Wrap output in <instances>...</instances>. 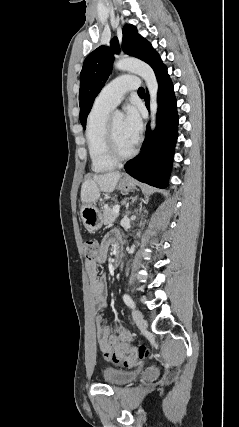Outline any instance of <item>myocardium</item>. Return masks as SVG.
<instances>
[{"mask_svg":"<svg viewBox=\"0 0 239 427\" xmlns=\"http://www.w3.org/2000/svg\"><path fill=\"white\" fill-rule=\"evenodd\" d=\"M105 148L108 157L115 163L122 162L133 157L137 151L136 145H134V147L127 153H121L118 150L112 127V118H108L106 123Z\"/></svg>","mask_w":239,"mask_h":427,"instance_id":"myocardium-1","label":"myocardium"}]
</instances>
